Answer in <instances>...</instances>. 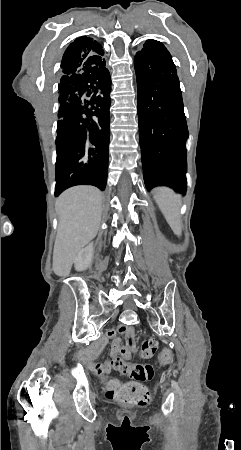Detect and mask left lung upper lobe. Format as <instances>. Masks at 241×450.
I'll return each mask as SVG.
<instances>
[{"label": "left lung upper lobe", "instance_id": "5c2ea615", "mask_svg": "<svg viewBox=\"0 0 241 450\" xmlns=\"http://www.w3.org/2000/svg\"><path fill=\"white\" fill-rule=\"evenodd\" d=\"M161 46H162V44L156 40H147L146 43L144 44V47H146V48H157V47H161Z\"/></svg>", "mask_w": 241, "mask_h": 450}]
</instances>
